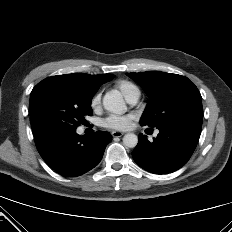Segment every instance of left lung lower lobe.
Instances as JSON below:
<instances>
[{"label":"left lung lower lobe","instance_id":"left-lung-lower-lobe-1","mask_svg":"<svg viewBox=\"0 0 232 232\" xmlns=\"http://www.w3.org/2000/svg\"><path fill=\"white\" fill-rule=\"evenodd\" d=\"M153 141L139 134L132 152L134 161L154 174H167L184 166L195 150L202 129V117L174 119L161 124Z\"/></svg>","mask_w":232,"mask_h":232}]
</instances>
